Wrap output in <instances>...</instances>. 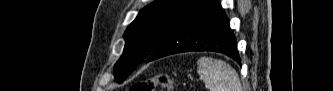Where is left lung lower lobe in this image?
I'll use <instances>...</instances> for the list:
<instances>
[{
  "label": "left lung lower lobe",
  "instance_id": "0a47b994",
  "mask_svg": "<svg viewBox=\"0 0 333 91\" xmlns=\"http://www.w3.org/2000/svg\"><path fill=\"white\" fill-rule=\"evenodd\" d=\"M191 51L220 52L240 63L236 39L217 0H197L157 44L146 62Z\"/></svg>",
  "mask_w": 333,
  "mask_h": 91
}]
</instances>
